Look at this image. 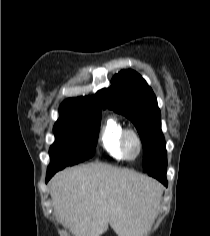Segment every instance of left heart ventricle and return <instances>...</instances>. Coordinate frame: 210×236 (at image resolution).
Masks as SVG:
<instances>
[{
	"label": "left heart ventricle",
	"instance_id": "1",
	"mask_svg": "<svg viewBox=\"0 0 210 236\" xmlns=\"http://www.w3.org/2000/svg\"><path fill=\"white\" fill-rule=\"evenodd\" d=\"M127 153L130 157H134L137 153V143L134 138H129L126 144Z\"/></svg>",
	"mask_w": 210,
	"mask_h": 236
}]
</instances>
